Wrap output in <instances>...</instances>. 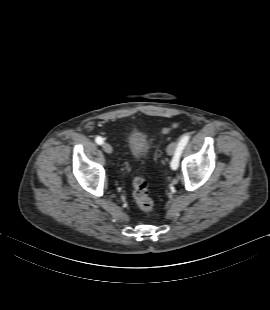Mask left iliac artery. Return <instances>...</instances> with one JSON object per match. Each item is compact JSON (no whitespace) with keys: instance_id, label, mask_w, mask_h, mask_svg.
<instances>
[{"instance_id":"obj_1","label":"left iliac artery","mask_w":270,"mask_h":310,"mask_svg":"<svg viewBox=\"0 0 270 310\" xmlns=\"http://www.w3.org/2000/svg\"><path fill=\"white\" fill-rule=\"evenodd\" d=\"M189 139H190L189 134H185V135L180 139V141L178 142V145H177L175 154H174L173 159H172V161H171V168H172V169L175 170V169L178 168L180 156H181V154H182V151H183L184 147H185L186 144L188 143Z\"/></svg>"}]
</instances>
